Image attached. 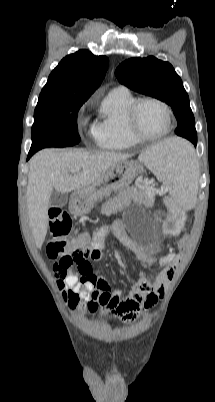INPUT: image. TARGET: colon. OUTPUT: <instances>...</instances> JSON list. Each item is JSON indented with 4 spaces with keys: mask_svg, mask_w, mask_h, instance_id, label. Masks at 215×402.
<instances>
[{
    "mask_svg": "<svg viewBox=\"0 0 215 402\" xmlns=\"http://www.w3.org/2000/svg\"><path fill=\"white\" fill-rule=\"evenodd\" d=\"M50 233L51 239L47 245V255L49 258L56 260V266L60 268L74 269V264L84 260V254L80 250H86L87 244L90 243L89 235H74L70 241L66 240L72 226L70 215L60 209H52L50 211ZM190 232H185L183 237L176 241L177 252L184 254L186 252V243L192 242ZM176 259L168 260V270L175 266ZM86 264H81L78 270L86 272L88 270Z\"/></svg>",
    "mask_w": 215,
    "mask_h": 402,
    "instance_id": "5ec220e1",
    "label": "colon"
}]
</instances>
